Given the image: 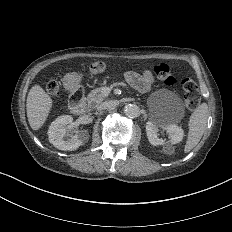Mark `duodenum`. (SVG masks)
I'll list each match as a JSON object with an SVG mask.
<instances>
[{"label": "duodenum", "instance_id": "410a0bca", "mask_svg": "<svg viewBox=\"0 0 232 232\" xmlns=\"http://www.w3.org/2000/svg\"><path fill=\"white\" fill-rule=\"evenodd\" d=\"M66 89L70 93L69 108L74 115H81L84 112V89L76 81H67Z\"/></svg>", "mask_w": 232, "mask_h": 232}]
</instances>
